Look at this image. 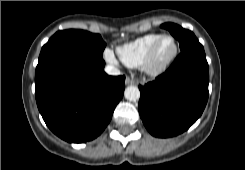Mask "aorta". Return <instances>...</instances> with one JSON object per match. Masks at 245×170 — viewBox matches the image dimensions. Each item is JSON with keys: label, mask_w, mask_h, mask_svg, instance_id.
<instances>
[{"label": "aorta", "mask_w": 245, "mask_h": 170, "mask_svg": "<svg viewBox=\"0 0 245 170\" xmlns=\"http://www.w3.org/2000/svg\"><path fill=\"white\" fill-rule=\"evenodd\" d=\"M124 96L129 101H137L140 98V91L136 86H128L125 89Z\"/></svg>", "instance_id": "762f6f07"}]
</instances>
